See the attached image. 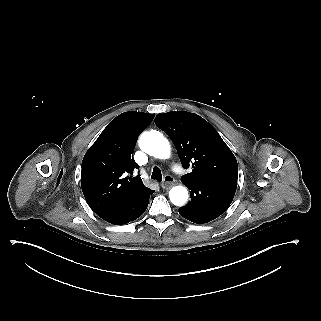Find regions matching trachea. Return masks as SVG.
<instances>
[{
  "label": "trachea",
  "instance_id": "obj_1",
  "mask_svg": "<svg viewBox=\"0 0 321 321\" xmlns=\"http://www.w3.org/2000/svg\"><path fill=\"white\" fill-rule=\"evenodd\" d=\"M151 178L158 181L162 180L161 170L157 166H154Z\"/></svg>",
  "mask_w": 321,
  "mask_h": 321
}]
</instances>
